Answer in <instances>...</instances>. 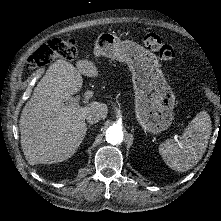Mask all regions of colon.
Here are the masks:
<instances>
[{
  "label": "colon",
  "mask_w": 221,
  "mask_h": 221,
  "mask_svg": "<svg viewBox=\"0 0 221 221\" xmlns=\"http://www.w3.org/2000/svg\"><path fill=\"white\" fill-rule=\"evenodd\" d=\"M143 45L165 60L179 59L182 49L163 40L155 34H146L142 39ZM78 49L76 40L54 39L35 50L27 59L26 68L35 70L44 67L56 59L71 60L77 57Z\"/></svg>",
  "instance_id": "5ec220e1"
}]
</instances>
